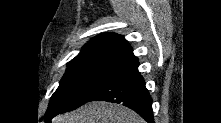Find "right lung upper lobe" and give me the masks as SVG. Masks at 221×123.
Listing matches in <instances>:
<instances>
[{
  "mask_svg": "<svg viewBox=\"0 0 221 123\" xmlns=\"http://www.w3.org/2000/svg\"><path fill=\"white\" fill-rule=\"evenodd\" d=\"M81 51H108L134 58L132 48L123 36L104 33L91 39Z\"/></svg>",
  "mask_w": 221,
  "mask_h": 123,
  "instance_id": "right-lung-upper-lobe-1",
  "label": "right lung upper lobe"
}]
</instances>
